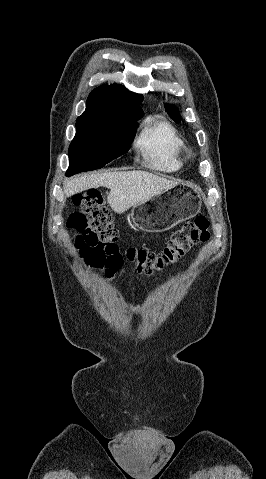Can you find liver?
<instances>
[{
  "mask_svg": "<svg viewBox=\"0 0 266 479\" xmlns=\"http://www.w3.org/2000/svg\"><path fill=\"white\" fill-rule=\"evenodd\" d=\"M147 171H115L76 177L65 186L66 197L100 186L110 189L107 201L112 210L122 214L132 206L177 185Z\"/></svg>",
  "mask_w": 266,
  "mask_h": 479,
  "instance_id": "obj_1",
  "label": "liver"
}]
</instances>
